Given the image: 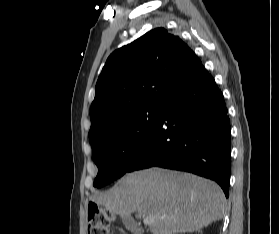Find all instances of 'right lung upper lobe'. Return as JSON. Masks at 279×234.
I'll return each mask as SVG.
<instances>
[{
	"label": "right lung upper lobe",
	"mask_w": 279,
	"mask_h": 234,
	"mask_svg": "<svg viewBox=\"0 0 279 234\" xmlns=\"http://www.w3.org/2000/svg\"><path fill=\"white\" fill-rule=\"evenodd\" d=\"M201 67L188 45L164 28L153 29L113 52L96 84L90 143L126 115L162 108Z\"/></svg>",
	"instance_id": "right-lung-upper-lobe-1"
}]
</instances>
